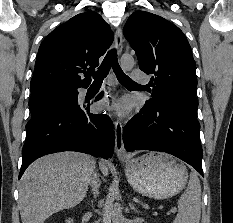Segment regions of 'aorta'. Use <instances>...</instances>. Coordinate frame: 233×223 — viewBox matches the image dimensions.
Segmentation results:
<instances>
[{"label": "aorta", "mask_w": 233, "mask_h": 223, "mask_svg": "<svg viewBox=\"0 0 233 223\" xmlns=\"http://www.w3.org/2000/svg\"><path fill=\"white\" fill-rule=\"evenodd\" d=\"M134 58H132V56H122L121 58V68L122 70H124V72H128V70H132V68H134ZM113 211H112V217H114V215H116L117 211H116V205H113L112 207Z\"/></svg>", "instance_id": "1"}]
</instances>
